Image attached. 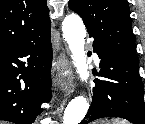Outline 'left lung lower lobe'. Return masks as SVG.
Returning <instances> with one entry per match:
<instances>
[{
    "instance_id": "left-lung-lower-lobe-1",
    "label": "left lung lower lobe",
    "mask_w": 145,
    "mask_h": 124,
    "mask_svg": "<svg viewBox=\"0 0 145 124\" xmlns=\"http://www.w3.org/2000/svg\"><path fill=\"white\" fill-rule=\"evenodd\" d=\"M101 59L100 75L94 80L92 104L80 124L103 117H121L134 124H145L144 88L139 76V62L102 48L93 42Z\"/></svg>"
}]
</instances>
